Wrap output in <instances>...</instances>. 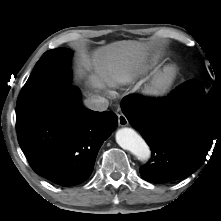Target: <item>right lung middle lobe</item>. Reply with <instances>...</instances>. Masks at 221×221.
<instances>
[{"mask_svg":"<svg viewBox=\"0 0 221 221\" xmlns=\"http://www.w3.org/2000/svg\"><path fill=\"white\" fill-rule=\"evenodd\" d=\"M72 51L66 48L49 50L36 63L29 78H41L38 86L27 85L18 97L16 128L37 118L51 103L55 94L70 84Z\"/></svg>","mask_w":221,"mask_h":221,"instance_id":"obj_1","label":"right lung middle lobe"}]
</instances>
